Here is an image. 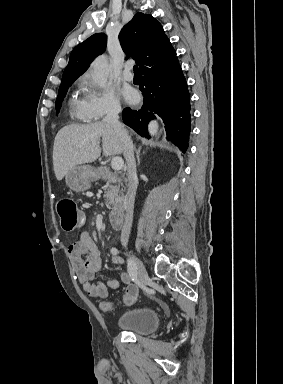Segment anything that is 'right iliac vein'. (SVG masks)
<instances>
[{
	"label": "right iliac vein",
	"mask_w": 283,
	"mask_h": 384,
	"mask_svg": "<svg viewBox=\"0 0 283 384\" xmlns=\"http://www.w3.org/2000/svg\"><path fill=\"white\" fill-rule=\"evenodd\" d=\"M127 254L137 268V274L139 276L140 282L142 283V285H146L149 281V276L146 271V268L144 267L142 262L131 251H127Z\"/></svg>",
	"instance_id": "63e3f726"
}]
</instances>
